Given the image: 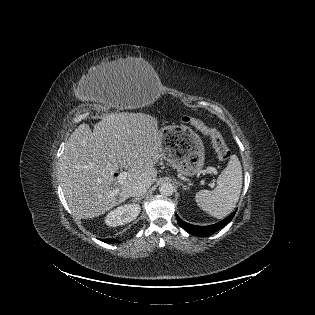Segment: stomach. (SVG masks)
Returning <instances> with one entry per match:
<instances>
[{
    "label": "stomach",
    "mask_w": 315,
    "mask_h": 315,
    "mask_svg": "<svg viewBox=\"0 0 315 315\" xmlns=\"http://www.w3.org/2000/svg\"><path fill=\"white\" fill-rule=\"evenodd\" d=\"M162 157L179 173L192 177L204 165L205 149L199 135L186 126L168 125L159 130Z\"/></svg>",
    "instance_id": "0dacf381"
}]
</instances>
